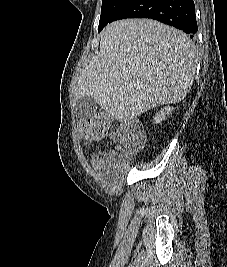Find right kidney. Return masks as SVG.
<instances>
[{"label": "right kidney", "mask_w": 227, "mask_h": 267, "mask_svg": "<svg viewBox=\"0 0 227 267\" xmlns=\"http://www.w3.org/2000/svg\"><path fill=\"white\" fill-rule=\"evenodd\" d=\"M174 110L173 107H165L164 109H161L160 112H158L155 116H154V123H161L163 120H165L167 118V116H169V114H171V112Z\"/></svg>", "instance_id": "ca27d5eb"}]
</instances>
